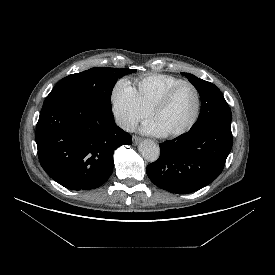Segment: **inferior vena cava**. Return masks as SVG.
<instances>
[{
  "instance_id": "obj_1",
  "label": "inferior vena cava",
  "mask_w": 275,
  "mask_h": 275,
  "mask_svg": "<svg viewBox=\"0 0 275 275\" xmlns=\"http://www.w3.org/2000/svg\"><path fill=\"white\" fill-rule=\"evenodd\" d=\"M116 123L123 130H126V131H133L134 130V122H132L131 120H129L127 118L119 117V118L116 119Z\"/></svg>"
}]
</instances>
